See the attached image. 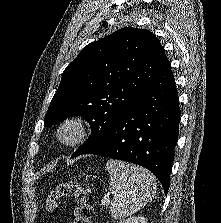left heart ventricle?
Returning a JSON list of instances; mask_svg holds the SVG:
<instances>
[{
	"label": "left heart ventricle",
	"mask_w": 221,
	"mask_h": 223,
	"mask_svg": "<svg viewBox=\"0 0 221 223\" xmlns=\"http://www.w3.org/2000/svg\"><path fill=\"white\" fill-rule=\"evenodd\" d=\"M72 135H73V132L68 130L63 134V138L68 139V138L72 137Z\"/></svg>",
	"instance_id": "1"
}]
</instances>
